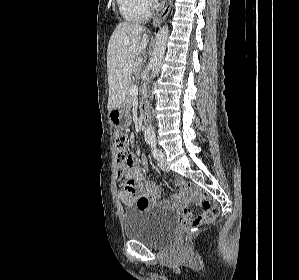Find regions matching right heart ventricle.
Masks as SVG:
<instances>
[{"instance_id":"e07e8e85","label":"right heart ventricle","mask_w":299,"mask_h":280,"mask_svg":"<svg viewBox=\"0 0 299 280\" xmlns=\"http://www.w3.org/2000/svg\"><path fill=\"white\" fill-rule=\"evenodd\" d=\"M121 16L130 22H139L148 15V8L143 0H117Z\"/></svg>"}]
</instances>
